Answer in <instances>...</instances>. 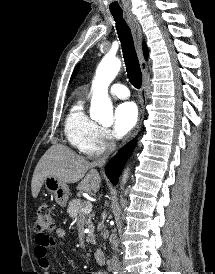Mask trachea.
Masks as SVG:
<instances>
[{
    "label": "trachea",
    "instance_id": "obj_1",
    "mask_svg": "<svg viewBox=\"0 0 215 274\" xmlns=\"http://www.w3.org/2000/svg\"><path fill=\"white\" fill-rule=\"evenodd\" d=\"M116 21V29L122 46V52L130 83L137 89L141 87L142 75L135 51L131 30L123 19L122 13H112Z\"/></svg>",
    "mask_w": 215,
    "mask_h": 274
}]
</instances>
